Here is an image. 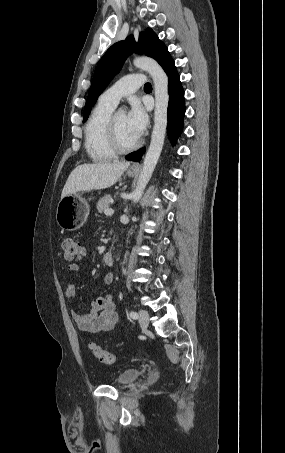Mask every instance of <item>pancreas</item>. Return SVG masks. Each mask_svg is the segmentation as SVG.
<instances>
[{
    "label": "pancreas",
    "instance_id": "pancreas-1",
    "mask_svg": "<svg viewBox=\"0 0 285 453\" xmlns=\"http://www.w3.org/2000/svg\"><path fill=\"white\" fill-rule=\"evenodd\" d=\"M112 198L110 195H105L102 198L99 199L97 202V210L98 212H104L106 209L109 208L110 202Z\"/></svg>",
    "mask_w": 285,
    "mask_h": 453
}]
</instances>
